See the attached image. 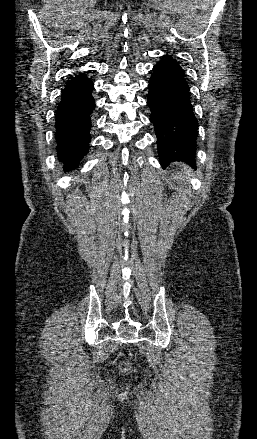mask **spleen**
Listing matches in <instances>:
<instances>
[{
    "label": "spleen",
    "mask_w": 257,
    "mask_h": 439,
    "mask_svg": "<svg viewBox=\"0 0 257 439\" xmlns=\"http://www.w3.org/2000/svg\"><path fill=\"white\" fill-rule=\"evenodd\" d=\"M189 176H190V173H187L186 176H183V177H182V175H180V179L183 178L185 180V179H188Z\"/></svg>",
    "instance_id": "3e777b00"
}]
</instances>
